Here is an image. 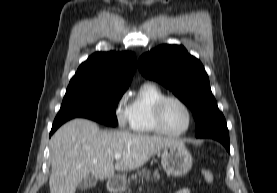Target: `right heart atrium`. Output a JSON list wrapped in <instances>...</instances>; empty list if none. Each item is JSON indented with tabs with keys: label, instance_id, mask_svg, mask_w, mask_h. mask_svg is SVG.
<instances>
[{
	"label": "right heart atrium",
	"instance_id": "right-heart-atrium-1",
	"mask_svg": "<svg viewBox=\"0 0 277 193\" xmlns=\"http://www.w3.org/2000/svg\"><path fill=\"white\" fill-rule=\"evenodd\" d=\"M123 100L124 97L120 99L115 110L116 122L120 128H125L129 123L127 109L123 106Z\"/></svg>",
	"mask_w": 277,
	"mask_h": 193
}]
</instances>
